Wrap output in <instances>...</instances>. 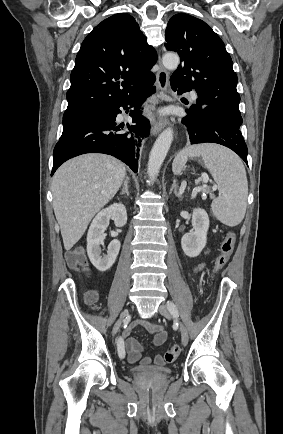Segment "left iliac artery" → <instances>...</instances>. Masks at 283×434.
<instances>
[{
	"instance_id": "1",
	"label": "left iliac artery",
	"mask_w": 283,
	"mask_h": 434,
	"mask_svg": "<svg viewBox=\"0 0 283 434\" xmlns=\"http://www.w3.org/2000/svg\"><path fill=\"white\" fill-rule=\"evenodd\" d=\"M167 307L173 315H175V316L178 315V309L173 302H167Z\"/></svg>"
}]
</instances>
